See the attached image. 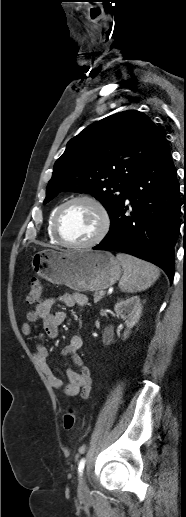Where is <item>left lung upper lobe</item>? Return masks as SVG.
<instances>
[{
  "label": "left lung upper lobe",
  "instance_id": "1",
  "mask_svg": "<svg viewBox=\"0 0 186 517\" xmlns=\"http://www.w3.org/2000/svg\"><path fill=\"white\" fill-rule=\"evenodd\" d=\"M164 139L156 125L136 110L93 123L68 142L55 162L44 204L61 191L92 193L111 218L125 202L128 183Z\"/></svg>",
  "mask_w": 186,
  "mask_h": 517
}]
</instances>
